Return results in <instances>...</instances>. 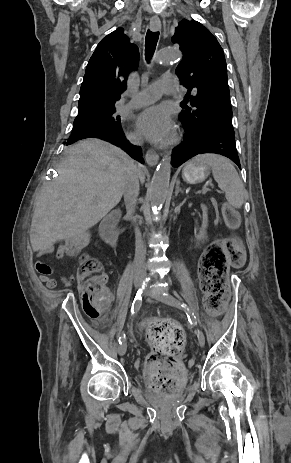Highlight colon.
I'll use <instances>...</instances> for the list:
<instances>
[{
	"instance_id": "obj_1",
	"label": "colon",
	"mask_w": 291,
	"mask_h": 463,
	"mask_svg": "<svg viewBox=\"0 0 291 463\" xmlns=\"http://www.w3.org/2000/svg\"><path fill=\"white\" fill-rule=\"evenodd\" d=\"M223 215L228 225L238 224V213L230 205L223 206ZM87 244L88 236L81 232L67 242L65 251L75 256ZM241 258L240 242L232 236L213 242L202 255L199 274L205 293V306L210 313L218 315L225 309L228 297V260L239 262ZM38 267L46 270L44 265ZM102 277L100 262L90 255H83L80 258L78 282L87 315L99 316L110 301ZM148 340L154 348V354L146 366L148 383L153 388L171 394L183 371L179 356L185 343V334L178 324L158 320L149 324Z\"/></svg>"
}]
</instances>
